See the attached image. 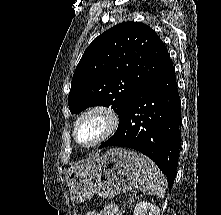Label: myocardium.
Wrapping results in <instances>:
<instances>
[{
	"label": "myocardium",
	"mask_w": 221,
	"mask_h": 215,
	"mask_svg": "<svg viewBox=\"0 0 221 215\" xmlns=\"http://www.w3.org/2000/svg\"><path fill=\"white\" fill-rule=\"evenodd\" d=\"M94 114L100 115L104 118L105 120L104 131L92 143L82 144L77 137V128L83 119ZM119 123H120L119 116L112 107L104 104H95L89 106L79 113V115L76 117L73 123L72 134L74 141L78 146L82 148H87V149L94 148L100 145L101 143L107 141L109 138H111L117 131Z\"/></svg>",
	"instance_id": "f54148a6"
}]
</instances>
